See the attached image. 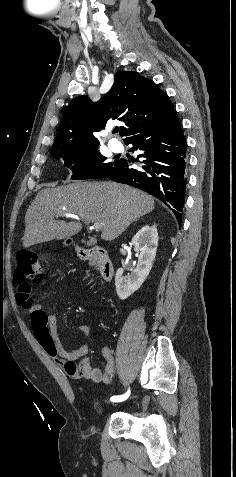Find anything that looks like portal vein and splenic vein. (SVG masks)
Returning a JSON list of instances; mask_svg holds the SVG:
<instances>
[{"mask_svg":"<svg viewBox=\"0 0 236 477\" xmlns=\"http://www.w3.org/2000/svg\"><path fill=\"white\" fill-rule=\"evenodd\" d=\"M60 216H65V217H69V218H73V219H79L77 215L70 214V213H67V212H61ZM101 227H102V224H100V223H94L93 226H91V228L95 229V230H99V229H101Z\"/></svg>","mask_w":236,"mask_h":477,"instance_id":"portal-vein-and-splenic-vein-1","label":"portal vein and splenic vein"}]
</instances>
